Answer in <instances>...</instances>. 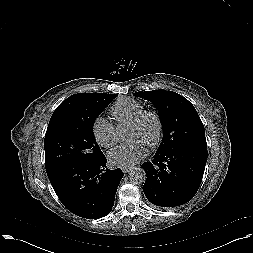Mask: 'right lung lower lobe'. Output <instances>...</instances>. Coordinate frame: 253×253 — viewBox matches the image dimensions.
Listing matches in <instances>:
<instances>
[{"label": "right lung lower lobe", "instance_id": "obj_1", "mask_svg": "<svg viewBox=\"0 0 253 253\" xmlns=\"http://www.w3.org/2000/svg\"><path fill=\"white\" fill-rule=\"evenodd\" d=\"M106 158L48 173L62 204L82 218L98 219L112 210L117 187L124 174L106 168Z\"/></svg>", "mask_w": 253, "mask_h": 253}]
</instances>
